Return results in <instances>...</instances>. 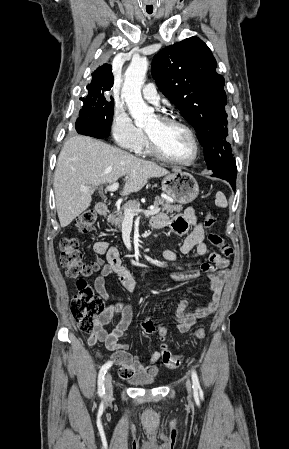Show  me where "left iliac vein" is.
Masks as SVG:
<instances>
[{"mask_svg":"<svg viewBox=\"0 0 289 449\" xmlns=\"http://www.w3.org/2000/svg\"><path fill=\"white\" fill-rule=\"evenodd\" d=\"M186 388H187L188 393H191L192 388H191V382L189 379L186 380Z\"/></svg>","mask_w":289,"mask_h":449,"instance_id":"4c4485c4","label":"left iliac vein"}]
</instances>
